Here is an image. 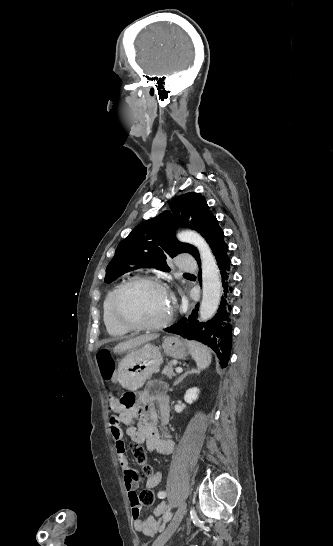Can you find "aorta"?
<instances>
[{
  "instance_id": "aorta-1",
  "label": "aorta",
  "mask_w": 333,
  "mask_h": 546,
  "mask_svg": "<svg viewBox=\"0 0 333 546\" xmlns=\"http://www.w3.org/2000/svg\"><path fill=\"white\" fill-rule=\"evenodd\" d=\"M178 238L196 246L200 252L203 286L200 319L207 321L215 315L220 303L221 280L215 257L205 240L195 231H183Z\"/></svg>"
}]
</instances>
